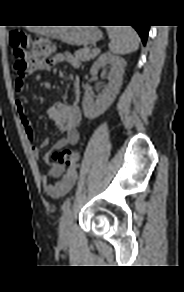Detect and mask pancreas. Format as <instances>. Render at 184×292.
<instances>
[{"mask_svg": "<svg viewBox=\"0 0 184 292\" xmlns=\"http://www.w3.org/2000/svg\"><path fill=\"white\" fill-rule=\"evenodd\" d=\"M99 51L94 52V49L88 47L79 49L75 52L76 59L80 61H89L98 55Z\"/></svg>", "mask_w": 184, "mask_h": 292, "instance_id": "cf45deb5", "label": "pancreas"}]
</instances>
